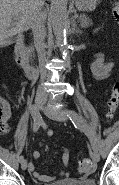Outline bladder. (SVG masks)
Instances as JSON below:
<instances>
[{
  "label": "bladder",
  "mask_w": 119,
  "mask_h": 185,
  "mask_svg": "<svg viewBox=\"0 0 119 185\" xmlns=\"http://www.w3.org/2000/svg\"><path fill=\"white\" fill-rule=\"evenodd\" d=\"M47 185H96L92 179L69 178Z\"/></svg>",
  "instance_id": "1"
}]
</instances>
